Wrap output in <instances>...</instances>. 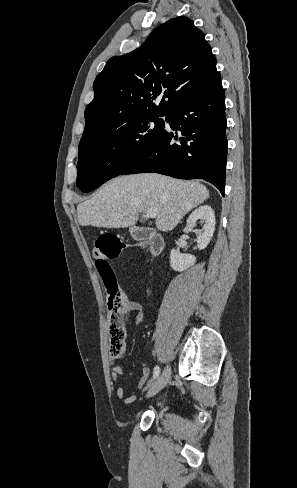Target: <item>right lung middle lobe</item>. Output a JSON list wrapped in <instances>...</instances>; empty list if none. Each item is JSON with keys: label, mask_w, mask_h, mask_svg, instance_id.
<instances>
[{"label": "right lung middle lobe", "mask_w": 297, "mask_h": 488, "mask_svg": "<svg viewBox=\"0 0 297 488\" xmlns=\"http://www.w3.org/2000/svg\"><path fill=\"white\" fill-rule=\"evenodd\" d=\"M153 121L155 126H147ZM164 129L158 116L139 119L93 139H81L77 187L89 192L120 175L147 149Z\"/></svg>", "instance_id": "dd1d6c3e"}]
</instances>
